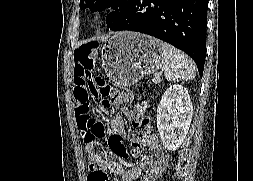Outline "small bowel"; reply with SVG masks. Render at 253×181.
<instances>
[{
	"mask_svg": "<svg viewBox=\"0 0 253 181\" xmlns=\"http://www.w3.org/2000/svg\"><path fill=\"white\" fill-rule=\"evenodd\" d=\"M90 70L80 64H75L73 72V99L75 104V115L80 98L87 89V81ZM133 102L131 93H122L117 99V105ZM145 106L142 102H135L132 122L135 126L142 128L139 136L132 140L130 155L138 157L144 147L149 150V156L143 158L142 162L132 168H125L122 161L128 155L123 138L126 136V118L121 112H116L110 123L109 146L114 159H105L99 167L87 165L88 181H112L109 173L120 176L121 181H154L167 168L169 155L159 143L156 135L151 131L150 123L144 116Z\"/></svg>",
	"mask_w": 253,
	"mask_h": 181,
	"instance_id": "c3829d8e",
	"label": "small bowel"
}]
</instances>
